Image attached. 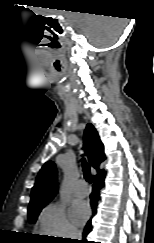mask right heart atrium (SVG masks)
<instances>
[{
    "mask_svg": "<svg viewBox=\"0 0 154 243\" xmlns=\"http://www.w3.org/2000/svg\"><path fill=\"white\" fill-rule=\"evenodd\" d=\"M39 230L54 237H74L77 229L70 222L65 207L59 203L47 205L38 218Z\"/></svg>",
    "mask_w": 154,
    "mask_h": 243,
    "instance_id": "right-heart-atrium-1",
    "label": "right heart atrium"
}]
</instances>
